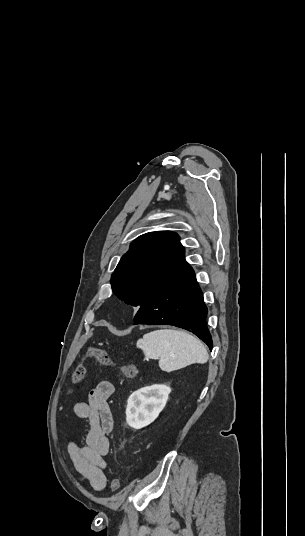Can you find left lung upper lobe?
I'll return each mask as SVG.
<instances>
[{
  "label": "left lung upper lobe",
  "instance_id": "1",
  "mask_svg": "<svg viewBox=\"0 0 305 536\" xmlns=\"http://www.w3.org/2000/svg\"><path fill=\"white\" fill-rule=\"evenodd\" d=\"M190 265L179 236L170 231L149 232L134 240L112 274L114 294L140 307Z\"/></svg>",
  "mask_w": 305,
  "mask_h": 536
}]
</instances>
